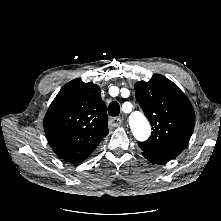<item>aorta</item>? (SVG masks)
<instances>
[{
    "label": "aorta",
    "mask_w": 221,
    "mask_h": 221,
    "mask_svg": "<svg viewBox=\"0 0 221 221\" xmlns=\"http://www.w3.org/2000/svg\"><path fill=\"white\" fill-rule=\"evenodd\" d=\"M131 130L136 139L143 141L147 139L150 135V126L147 120L142 117H133L130 120Z\"/></svg>",
    "instance_id": "aorta-1"
}]
</instances>
